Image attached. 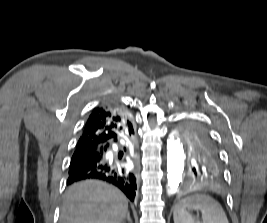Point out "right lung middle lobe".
<instances>
[{
	"label": "right lung middle lobe",
	"instance_id": "dd1d6c3e",
	"mask_svg": "<svg viewBox=\"0 0 267 223\" xmlns=\"http://www.w3.org/2000/svg\"><path fill=\"white\" fill-rule=\"evenodd\" d=\"M86 150H76L72 157L79 156L84 153Z\"/></svg>",
	"mask_w": 267,
	"mask_h": 223
}]
</instances>
